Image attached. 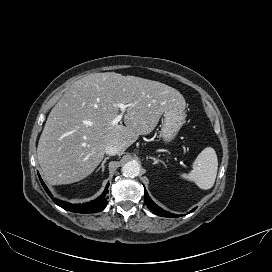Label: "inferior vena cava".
I'll use <instances>...</instances> for the list:
<instances>
[{
    "instance_id": "inferior-vena-cava-1",
    "label": "inferior vena cava",
    "mask_w": 272,
    "mask_h": 272,
    "mask_svg": "<svg viewBox=\"0 0 272 272\" xmlns=\"http://www.w3.org/2000/svg\"><path fill=\"white\" fill-rule=\"evenodd\" d=\"M105 153L109 156H114L118 154V147L116 145L110 144L105 148Z\"/></svg>"
}]
</instances>
